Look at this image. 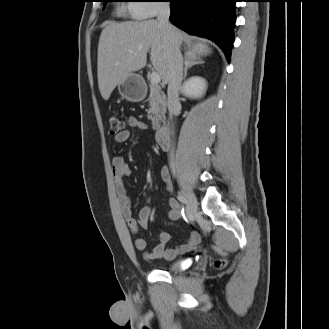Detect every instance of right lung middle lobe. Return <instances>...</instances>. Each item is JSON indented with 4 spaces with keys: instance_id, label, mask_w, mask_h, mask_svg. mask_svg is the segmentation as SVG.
<instances>
[{
    "instance_id": "1",
    "label": "right lung middle lobe",
    "mask_w": 329,
    "mask_h": 329,
    "mask_svg": "<svg viewBox=\"0 0 329 329\" xmlns=\"http://www.w3.org/2000/svg\"><path fill=\"white\" fill-rule=\"evenodd\" d=\"M101 1H103L104 3H106V2H109V1H112V0H101Z\"/></svg>"
}]
</instances>
